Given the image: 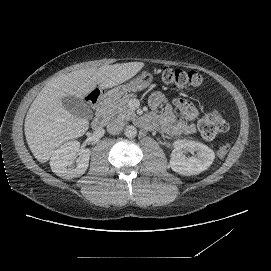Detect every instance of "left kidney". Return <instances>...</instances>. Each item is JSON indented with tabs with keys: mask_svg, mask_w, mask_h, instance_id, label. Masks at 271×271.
<instances>
[{
	"mask_svg": "<svg viewBox=\"0 0 271 271\" xmlns=\"http://www.w3.org/2000/svg\"><path fill=\"white\" fill-rule=\"evenodd\" d=\"M174 150L171 153L170 167L181 175H195L206 170L215 159V153L208 146L186 139L176 140L173 143ZM184 151L192 154L186 157Z\"/></svg>",
	"mask_w": 271,
	"mask_h": 271,
	"instance_id": "left-kidney-1",
	"label": "left kidney"
}]
</instances>
